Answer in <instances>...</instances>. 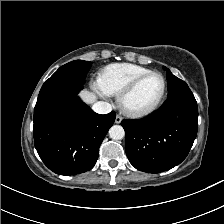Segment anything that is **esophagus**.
<instances>
[{
  "mask_svg": "<svg viewBox=\"0 0 224 224\" xmlns=\"http://www.w3.org/2000/svg\"><path fill=\"white\" fill-rule=\"evenodd\" d=\"M122 121V117L120 115H117L115 118V123L119 124Z\"/></svg>",
  "mask_w": 224,
  "mask_h": 224,
  "instance_id": "34e87169",
  "label": "esophagus"
}]
</instances>
